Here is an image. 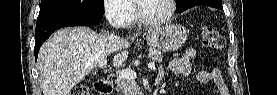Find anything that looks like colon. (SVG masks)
Instances as JSON below:
<instances>
[{
    "label": "colon",
    "instance_id": "1",
    "mask_svg": "<svg viewBox=\"0 0 277 95\" xmlns=\"http://www.w3.org/2000/svg\"><path fill=\"white\" fill-rule=\"evenodd\" d=\"M202 45L208 50H218L224 43V37L219 31L212 27H202L200 30ZM71 94L73 95H89V90L85 86H76Z\"/></svg>",
    "mask_w": 277,
    "mask_h": 95
}]
</instances>
